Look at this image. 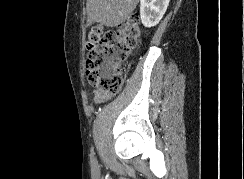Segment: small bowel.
Here are the masks:
<instances>
[{
	"label": "small bowel",
	"instance_id": "c3829d8e",
	"mask_svg": "<svg viewBox=\"0 0 244 179\" xmlns=\"http://www.w3.org/2000/svg\"><path fill=\"white\" fill-rule=\"evenodd\" d=\"M111 96L112 95L110 93L95 89L93 92V101L96 104H102L107 102L111 98Z\"/></svg>",
	"mask_w": 244,
	"mask_h": 179
}]
</instances>
